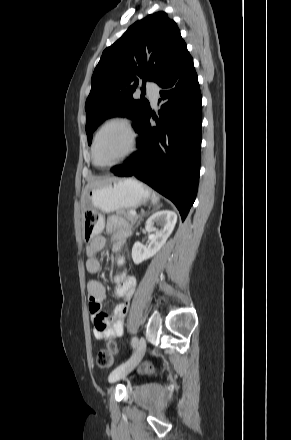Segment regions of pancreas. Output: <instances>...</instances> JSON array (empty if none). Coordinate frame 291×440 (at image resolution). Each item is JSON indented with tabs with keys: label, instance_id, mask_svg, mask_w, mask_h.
<instances>
[{
	"label": "pancreas",
	"instance_id": "1",
	"mask_svg": "<svg viewBox=\"0 0 291 440\" xmlns=\"http://www.w3.org/2000/svg\"><path fill=\"white\" fill-rule=\"evenodd\" d=\"M130 209H119L116 211V213L118 215H123L125 219H127L128 221H130L131 224H135L138 220L137 216H132L130 214Z\"/></svg>",
	"mask_w": 291,
	"mask_h": 440
}]
</instances>
